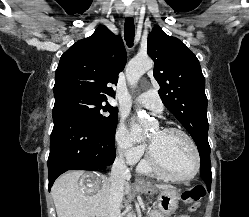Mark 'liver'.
<instances>
[{
	"label": "liver",
	"instance_id": "1",
	"mask_svg": "<svg viewBox=\"0 0 249 217\" xmlns=\"http://www.w3.org/2000/svg\"><path fill=\"white\" fill-rule=\"evenodd\" d=\"M87 180L86 185L83 184ZM80 180V181H79ZM110 178L91 172L74 170L60 176L53 184L51 194L57 217H120L109 205ZM164 190L168 185H156ZM130 192L125 183L123 194Z\"/></svg>",
	"mask_w": 249,
	"mask_h": 217
}]
</instances>
